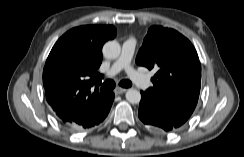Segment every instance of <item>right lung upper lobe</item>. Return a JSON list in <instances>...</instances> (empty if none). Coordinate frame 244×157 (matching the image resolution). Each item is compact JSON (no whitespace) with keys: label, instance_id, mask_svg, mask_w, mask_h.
<instances>
[{"label":"right lung upper lobe","instance_id":"cb5924a9","mask_svg":"<svg viewBox=\"0 0 244 157\" xmlns=\"http://www.w3.org/2000/svg\"><path fill=\"white\" fill-rule=\"evenodd\" d=\"M116 36L112 25H87L66 32L53 46L43 70L46 99L62 122H77L103 104L98 92L103 44Z\"/></svg>","mask_w":244,"mask_h":157}]
</instances>
